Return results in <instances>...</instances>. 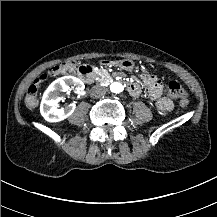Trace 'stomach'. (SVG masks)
Here are the masks:
<instances>
[{
	"label": "stomach",
	"mask_w": 217,
	"mask_h": 217,
	"mask_svg": "<svg viewBox=\"0 0 217 217\" xmlns=\"http://www.w3.org/2000/svg\"><path fill=\"white\" fill-rule=\"evenodd\" d=\"M118 66L126 71H133L135 68V62L131 59H122L118 62Z\"/></svg>",
	"instance_id": "0dacf381"
}]
</instances>
